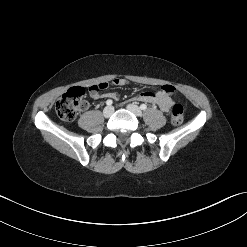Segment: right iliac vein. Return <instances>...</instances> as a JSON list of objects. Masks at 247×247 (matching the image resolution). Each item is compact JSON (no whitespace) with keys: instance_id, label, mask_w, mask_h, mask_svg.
<instances>
[{"instance_id":"obj_1","label":"right iliac vein","mask_w":247,"mask_h":247,"mask_svg":"<svg viewBox=\"0 0 247 247\" xmlns=\"http://www.w3.org/2000/svg\"><path fill=\"white\" fill-rule=\"evenodd\" d=\"M113 112H114L113 107L107 106L103 110V115H104V117L108 118L113 114Z\"/></svg>"}]
</instances>
